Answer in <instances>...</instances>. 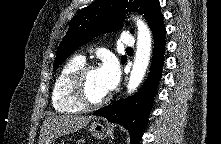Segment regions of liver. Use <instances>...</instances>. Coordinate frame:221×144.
<instances>
[{
  "instance_id": "1",
  "label": "liver",
  "mask_w": 221,
  "mask_h": 144,
  "mask_svg": "<svg viewBox=\"0 0 221 144\" xmlns=\"http://www.w3.org/2000/svg\"><path fill=\"white\" fill-rule=\"evenodd\" d=\"M92 116L55 115L47 117L43 123L39 144H51L55 139L84 128Z\"/></svg>"
}]
</instances>
